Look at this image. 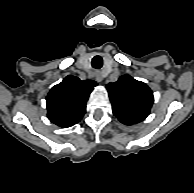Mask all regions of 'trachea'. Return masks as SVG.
Returning a JSON list of instances; mask_svg holds the SVG:
<instances>
[{"instance_id": "1", "label": "trachea", "mask_w": 194, "mask_h": 193, "mask_svg": "<svg viewBox=\"0 0 194 193\" xmlns=\"http://www.w3.org/2000/svg\"><path fill=\"white\" fill-rule=\"evenodd\" d=\"M92 67L95 69H100L103 66V60L102 57L99 55H96L92 58Z\"/></svg>"}]
</instances>
